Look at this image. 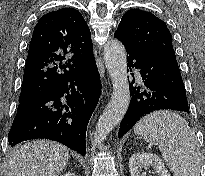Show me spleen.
Here are the masks:
<instances>
[{
	"mask_svg": "<svg viewBox=\"0 0 205 176\" xmlns=\"http://www.w3.org/2000/svg\"><path fill=\"white\" fill-rule=\"evenodd\" d=\"M134 133L158 145L173 176H200L201 155L195 132L172 111H156L142 118Z\"/></svg>",
	"mask_w": 205,
	"mask_h": 176,
	"instance_id": "spleen-1",
	"label": "spleen"
}]
</instances>
